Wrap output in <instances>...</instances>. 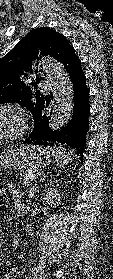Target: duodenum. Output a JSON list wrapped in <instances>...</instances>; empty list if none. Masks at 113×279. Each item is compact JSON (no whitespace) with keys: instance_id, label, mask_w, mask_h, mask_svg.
Masks as SVG:
<instances>
[{"instance_id":"duodenum-1","label":"duodenum","mask_w":113,"mask_h":279,"mask_svg":"<svg viewBox=\"0 0 113 279\" xmlns=\"http://www.w3.org/2000/svg\"><path fill=\"white\" fill-rule=\"evenodd\" d=\"M16 211H17L18 214H23V212H24V205L22 203L16 204ZM13 243L17 244L18 243V239L15 238L13 240Z\"/></svg>"}]
</instances>
